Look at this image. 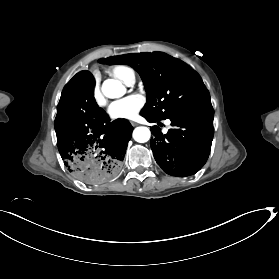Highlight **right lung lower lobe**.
<instances>
[{"instance_id":"98d812e1","label":"right lung lower lobe","mask_w":279,"mask_h":279,"mask_svg":"<svg viewBox=\"0 0 279 279\" xmlns=\"http://www.w3.org/2000/svg\"><path fill=\"white\" fill-rule=\"evenodd\" d=\"M132 126L110 121L94 100L93 76L77 73L63 89L55 119L57 146L67 169L80 181L100 185L119 174Z\"/></svg>"}]
</instances>
